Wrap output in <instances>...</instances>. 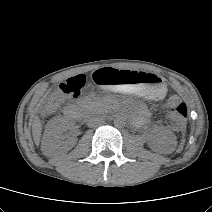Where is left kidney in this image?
<instances>
[{"label": "left kidney", "instance_id": "1", "mask_svg": "<svg viewBox=\"0 0 212 212\" xmlns=\"http://www.w3.org/2000/svg\"><path fill=\"white\" fill-rule=\"evenodd\" d=\"M176 136L167 129L157 133L149 142L150 147L157 152L170 154L176 147Z\"/></svg>", "mask_w": 212, "mask_h": 212}]
</instances>
